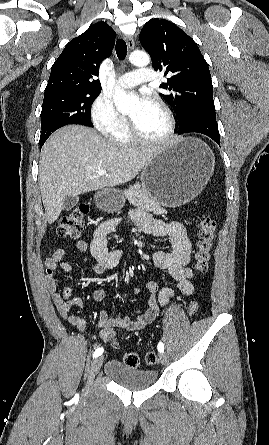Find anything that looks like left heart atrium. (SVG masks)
Returning <instances> with one entry per match:
<instances>
[{
  "label": "left heart atrium",
  "instance_id": "obj_1",
  "mask_svg": "<svg viewBox=\"0 0 269 445\" xmlns=\"http://www.w3.org/2000/svg\"><path fill=\"white\" fill-rule=\"evenodd\" d=\"M150 104H151V101H150V99L146 95H141L140 96V98L138 100V106L140 108H146Z\"/></svg>",
  "mask_w": 269,
  "mask_h": 445
}]
</instances>
